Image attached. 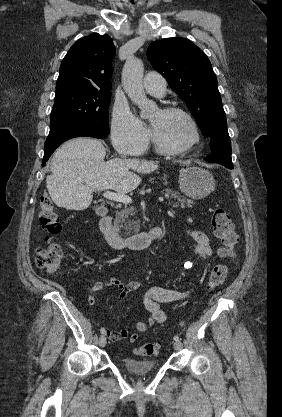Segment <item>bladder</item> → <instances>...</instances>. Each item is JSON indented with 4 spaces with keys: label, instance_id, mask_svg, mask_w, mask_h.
I'll return each mask as SVG.
<instances>
[{
    "label": "bladder",
    "instance_id": "bladder-1",
    "mask_svg": "<svg viewBox=\"0 0 282 417\" xmlns=\"http://www.w3.org/2000/svg\"><path fill=\"white\" fill-rule=\"evenodd\" d=\"M123 368L137 376H143L152 372L156 367V362L152 360H140L134 357H124L122 360Z\"/></svg>",
    "mask_w": 282,
    "mask_h": 417
}]
</instances>
